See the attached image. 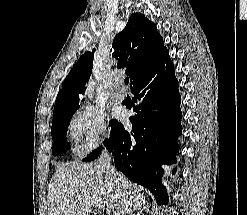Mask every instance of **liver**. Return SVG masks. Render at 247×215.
I'll return each mask as SVG.
<instances>
[{"label": "liver", "instance_id": "1", "mask_svg": "<svg viewBox=\"0 0 247 215\" xmlns=\"http://www.w3.org/2000/svg\"><path fill=\"white\" fill-rule=\"evenodd\" d=\"M118 176V183L111 181L99 163L58 167L48 188V215H89L93 198L104 201L108 215L142 209L144 195L123 174Z\"/></svg>", "mask_w": 247, "mask_h": 215}]
</instances>
